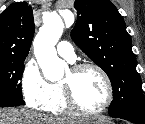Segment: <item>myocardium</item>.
I'll list each match as a JSON object with an SVG mask.
<instances>
[{
    "instance_id": "myocardium-1",
    "label": "myocardium",
    "mask_w": 145,
    "mask_h": 124,
    "mask_svg": "<svg viewBox=\"0 0 145 124\" xmlns=\"http://www.w3.org/2000/svg\"><path fill=\"white\" fill-rule=\"evenodd\" d=\"M87 69H93V70L97 71L105 83L106 98L99 108H97L95 110H86V109L82 108L79 105V103L77 102V100L75 99L71 85L69 83H66L63 81L60 82V85L63 90L66 104L72 112H74L75 114L81 115V116L93 117V116H98V115L102 114L111 105V103L113 101V97H114V89H113L112 81H111L109 75L107 74V72L101 66H99L97 64L89 63V62L79 63V64L74 65L70 69V71L73 74H77V73H80Z\"/></svg>"
}]
</instances>
